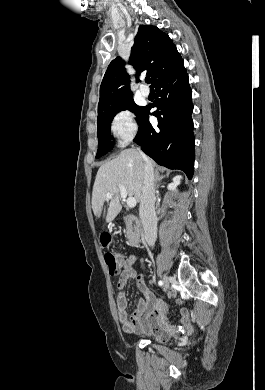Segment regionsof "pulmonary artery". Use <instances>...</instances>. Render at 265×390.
<instances>
[{
    "mask_svg": "<svg viewBox=\"0 0 265 390\" xmlns=\"http://www.w3.org/2000/svg\"><path fill=\"white\" fill-rule=\"evenodd\" d=\"M140 94H141L142 97L147 98L149 96V94H150L149 88L146 87L145 85H142L140 87Z\"/></svg>",
    "mask_w": 265,
    "mask_h": 390,
    "instance_id": "obj_1",
    "label": "pulmonary artery"
}]
</instances>
